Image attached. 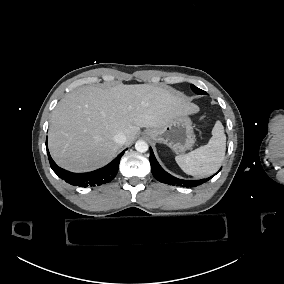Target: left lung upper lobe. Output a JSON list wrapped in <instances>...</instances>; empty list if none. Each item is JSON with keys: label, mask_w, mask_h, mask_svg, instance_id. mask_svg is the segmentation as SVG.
I'll list each match as a JSON object with an SVG mask.
<instances>
[{"label": "left lung upper lobe", "mask_w": 284, "mask_h": 284, "mask_svg": "<svg viewBox=\"0 0 284 284\" xmlns=\"http://www.w3.org/2000/svg\"><path fill=\"white\" fill-rule=\"evenodd\" d=\"M191 88H192L193 92H195L196 94H202V95L207 94L205 91H203V90L197 88V87L194 86V85H191Z\"/></svg>", "instance_id": "obj_1"}]
</instances>
